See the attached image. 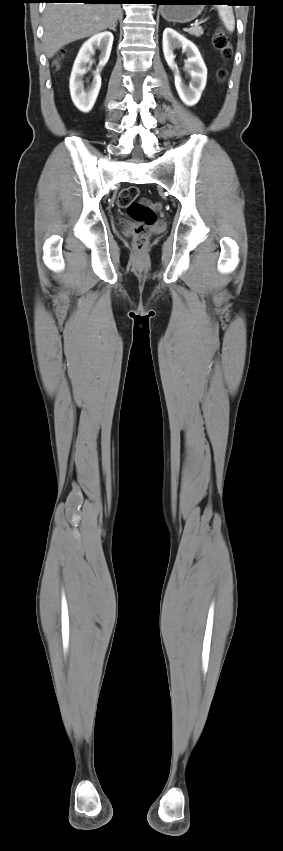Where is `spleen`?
<instances>
[{
    "label": "spleen",
    "mask_w": 283,
    "mask_h": 851,
    "mask_svg": "<svg viewBox=\"0 0 283 851\" xmlns=\"http://www.w3.org/2000/svg\"><path fill=\"white\" fill-rule=\"evenodd\" d=\"M217 9H218L219 16H220L221 20L223 21L226 29L230 32H233L234 29H235V18H234V13H233L232 7L222 5V6H218Z\"/></svg>",
    "instance_id": "3e777b00"
}]
</instances>
